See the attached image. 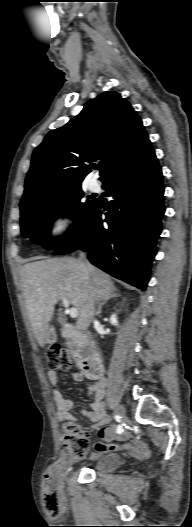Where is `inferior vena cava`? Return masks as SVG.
<instances>
[{"label":"inferior vena cava","instance_id":"inferior-vena-cava-1","mask_svg":"<svg viewBox=\"0 0 192 527\" xmlns=\"http://www.w3.org/2000/svg\"><path fill=\"white\" fill-rule=\"evenodd\" d=\"M79 261L81 262L82 267L84 268V262H86V257H85V254L82 251L79 254Z\"/></svg>","mask_w":192,"mask_h":527}]
</instances>
